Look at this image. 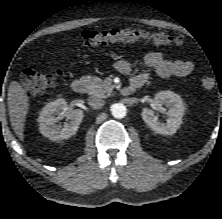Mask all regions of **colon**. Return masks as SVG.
Returning a JSON list of instances; mask_svg holds the SVG:
<instances>
[{"mask_svg":"<svg viewBox=\"0 0 222 219\" xmlns=\"http://www.w3.org/2000/svg\"><path fill=\"white\" fill-rule=\"evenodd\" d=\"M81 41L86 46H97L111 42L145 41L156 46L175 47L181 44V39L166 33H149L140 29L113 28L106 30H85L81 33ZM61 72H38L26 69L21 75L24 89L32 95H40L54 86L60 78ZM216 82L213 77H204L201 87L208 91L214 88Z\"/></svg>","mask_w":222,"mask_h":219,"instance_id":"obj_1","label":"colon"}]
</instances>
